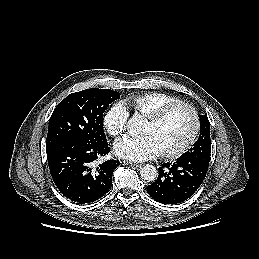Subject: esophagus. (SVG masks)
I'll list each match as a JSON object with an SVG mask.
<instances>
[{
	"label": "esophagus",
	"mask_w": 259,
	"mask_h": 259,
	"mask_svg": "<svg viewBox=\"0 0 259 259\" xmlns=\"http://www.w3.org/2000/svg\"><path fill=\"white\" fill-rule=\"evenodd\" d=\"M123 164H124V165H130V166H133V167H135V168H140V167H142V164L131 163V162H127V161H123Z\"/></svg>",
	"instance_id": "1"
}]
</instances>
